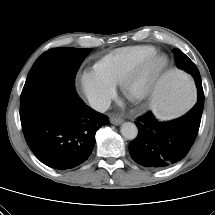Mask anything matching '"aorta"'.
<instances>
[{"label": "aorta", "instance_id": "obj_1", "mask_svg": "<svg viewBox=\"0 0 215 215\" xmlns=\"http://www.w3.org/2000/svg\"><path fill=\"white\" fill-rule=\"evenodd\" d=\"M120 132L122 136L128 140H133L138 135L137 126L131 122H125L121 125Z\"/></svg>", "mask_w": 215, "mask_h": 215}]
</instances>
